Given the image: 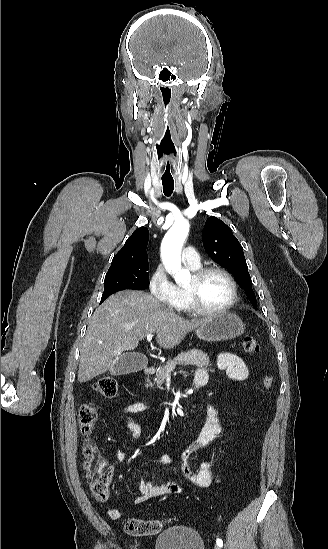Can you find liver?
<instances>
[{
  "mask_svg": "<svg viewBox=\"0 0 328 549\" xmlns=\"http://www.w3.org/2000/svg\"><path fill=\"white\" fill-rule=\"evenodd\" d=\"M205 319H183L145 291H119L106 299L80 343L79 383L106 373L124 351H134L147 335L156 333L163 349L177 347Z\"/></svg>",
  "mask_w": 328,
  "mask_h": 549,
  "instance_id": "1",
  "label": "liver"
}]
</instances>
